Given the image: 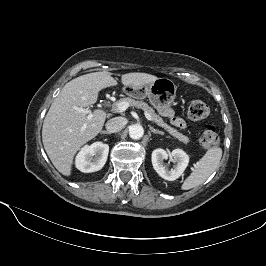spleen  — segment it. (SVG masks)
<instances>
[{
  "instance_id": "spleen-1",
  "label": "spleen",
  "mask_w": 266,
  "mask_h": 266,
  "mask_svg": "<svg viewBox=\"0 0 266 266\" xmlns=\"http://www.w3.org/2000/svg\"><path fill=\"white\" fill-rule=\"evenodd\" d=\"M222 157V149L212 147L196 163L191 174L183 182L181 189L189 190L205 182L208 177L218 168Z\"/></svg>"
}]
</instances>
